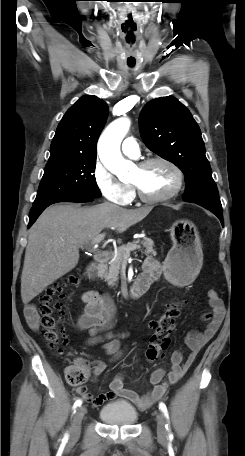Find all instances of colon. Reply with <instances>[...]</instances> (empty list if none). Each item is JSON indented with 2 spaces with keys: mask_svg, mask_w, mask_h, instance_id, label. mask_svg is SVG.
I'll use <instances>...</instances> for the list:
<instances>
[{
  "mask_svg": "<svg viewBox=\"0 0 245 456\" xmlns=\"http://www.w3.org/2000/svg\"><path fill=\"white\" fill-rule=\"evenodd\" d=\"M78 279L74 275H68L61 281L46 288L40 296L41 324L44 329V337L49 346L58 352L67 344V336L62 327L64 308L62 299L66 288L75 285ZM181 309L180 303H172L166 307L163 313L152 320L150 327L152 334L146 350L148 362L160 359L162 352L170 344V334L173 331ZM90 375L88 366L76 360L65 370V379L69 385L79 386L87 381Z\"/></svg>",
  "mask_w": 245,
  "mask_h": 456,
  "instance_id": "obj_1",
  "label": "colon"
}]
</instances>
